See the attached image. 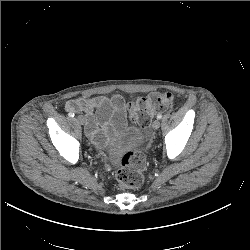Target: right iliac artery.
<instances>
[{
	"mask_svg": "<svg viewBox=\"0 0 250 250\" xmlns=\"http://www.w3.org/2000/svg\"><path fill=\"white\" fill-rule=\"evenodd\" d=\"M74 115H75V114H74V113H71V112L68 114L69 117H74Z\"/></svg>",
	"mask_w": 250,
	"mask_h": 250,
	"instance_id": "1",
	"label": "right iliac artery"
}]
</instances>
